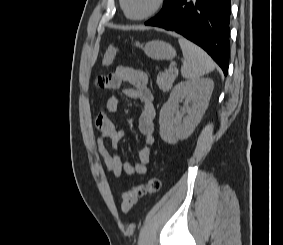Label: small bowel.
I'll return each mask as SVG.
<instances>
[{
  "label": "small bowel",
  "instance_id": "small-bowel-1",
  "mask_svg": "<svg viewBox=\"0 0 283 245\" xmlns=\"http://www.w3.org/2000/svg\"><path fill=\"white\" fill-rule=\"evenodd\" d=\"M126 97L140 103L139 130L145 136L146 145L139 151V160L135 164L124 161L121 157L110 151L116 150L124 137V132L111 119L118 108L119 100L111 95L107 99V112L97 114L95 123L99 130L96 143L99 154L104 160L107 172L115 177L122 173L127 175L145 174L151 161V145L154 142L156 111L154 97L148 87L146 74L136 68L119 65L114 72L101 75L96 79V85L102 89L117 90L123 85Z\"/></svg>",
  "mask_w": 283,
  "mask_h": 245
}]
</instances>
